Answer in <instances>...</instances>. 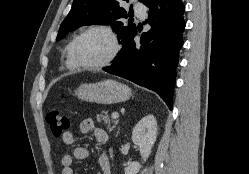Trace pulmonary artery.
<instances>
[{
  "label": "pulmonary artery",
  "instance_id": "obj_1",
  "mask_svg": "<svg viewBox=\"0 0 249 174\" xmlns=\"http://www.w3.org/2000/svg\"><path fill=\"white\" fill-rule=\"evenodd\" d=\"M134 13L137 17L144 19L147 15V9L144 5L136 3L134 5Z\"/></svg>",
  "mask_w": 249,
  "mask_h": 174
}]
</instances>
